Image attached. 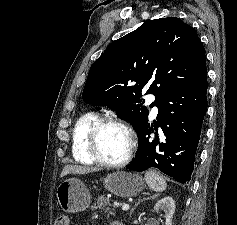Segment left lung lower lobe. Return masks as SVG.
Instances as JSON below:
<instances>
[{"instance_id":"left-lung-lower-lobe-1","label":"left lung lower lobe","mask_w":237,"mask_h":225,"mask_svg":"<svg viewBox=\"0 0 237 225\" xmlns=\"http://www.w3.org/2000/svg\"><path fill=\"white\" fill-rule=\"evenodd\" d=\"M206 79L154 103L157 120L149 124L147 118L137 131L138 151L126 168L141 172L154 167L178 182L190 181L207 110Z\"/></svg>"}]
</instances>
